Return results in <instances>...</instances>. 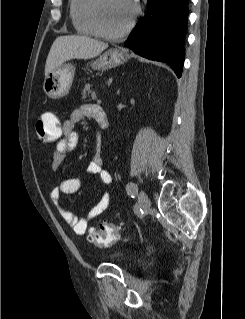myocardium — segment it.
<instances>
[{"instance_id":"1","label":"myocardium","mask_w":245,"mask_h":319,"mask_svg":"<svg viewBox=\"0 0 245 319\" xmlns=\"http://www.w3.org/2000/svg\"><path fill=\"white\" fill-rule=\"evenodd\" d=\"M130 2V1H129ZM103 0H93L91 7H90V15H91V20L93 23V26L96 30V33L98 36L107 38V39H119L124 36H126L134 27L136 19L139 14V8L138 6L130 2L132 6V16L128 24L120 31L118 32H110L107 31L101 22V7H102Z\"/></svg>"}]
</instances>
